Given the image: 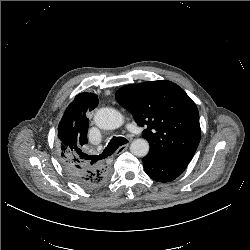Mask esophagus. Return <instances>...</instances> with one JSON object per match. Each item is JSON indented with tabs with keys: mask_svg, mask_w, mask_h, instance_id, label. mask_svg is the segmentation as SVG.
I'll use <instances>...</instances> for the list:
<instances>
[{
	"mask_svg": "<svg viewBox=\"0 0 250 250\" xmlns=\"http://www.w3.org/2000/svg\"><path fill=\"white\" fill-rule=\"evenodd\" d=\"M128 144H125V145H122V146H120L119 148H118V150L116 151V155H118V154H120V153H122V152H124L127 148H128Z\"/></svg>",
	"mask_w": 250,
	"mask_h": 250,
	"instance_id": "1",
	"label": "esophagus"
}]
</instances>
